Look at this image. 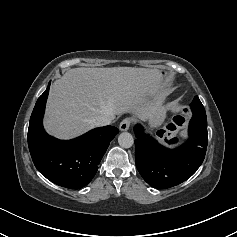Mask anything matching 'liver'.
Segmentation results:
<instances>
[{
    "mask_svg": "<svg viewBox=\"0 0 237 237\" xmlns=\"http://www.w3.org/2000/svg\"><path fill=\"white\" fill-rule=\"evenodd\" d=\"M164 88L157 69L113 67L68 70L51 88L44 127L60 139L76 137L94 127L100 115L133 113L146 119L157 108L148 97Z\"/></svg>",
    "mask_w": 237,
    "mask_h": 237,
    "instance_id": "6515ba94",
    "label": "liver"
}]
</instances>
